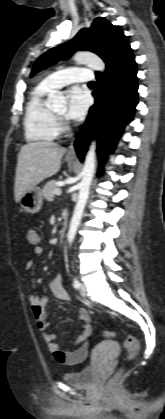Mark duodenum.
I'll list each match as a JSON object with an SVG mask.
<instances>
[{
  "mask_svg": "<svg viewBox=\"0 0 165 419\" xmlns=\"http://www.w3.org/2000/svg\"><path fill=\"white\" fill-rule=\"evenodd\" d=\"M66 233H67V224H66V216L63 215V224L60 230V234H59V241L60 243H62L66 237Z\"/></svg>",
  "mask_w": 165,
  "mask_h": 419,
  "instance_id": "obj_1",
  "label": "duodenum"
}]
</instances>
